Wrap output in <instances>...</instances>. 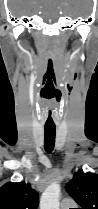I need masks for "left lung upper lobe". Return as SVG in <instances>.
Instances as JSON below:
<instances>
[{"label": "left lung upper lobe", "instance_id": "1", "mask_svg": "<svg viewBox=\"0 0 98 209\" xmlns=\"http://www.w3.org/2000/svg\"><path fill=\"white\" fill-rule=\"evenodd\" d=\"M68 194L81 206L80 209H98V175L75 173L73 179L65 186Z\"/></svg>", "mask_w": 98, "mask_h": 209}]
</instances>
